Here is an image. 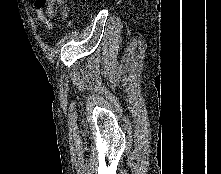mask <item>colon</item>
<instances>
[{
    "instance_id": "colon-1",
    "label": "colon",
    "mask_w": 221,
    "mask_h": 174,
    "mask_svg": "<svg viewBox=\"0 0 221 174\" xmlns=\"http://www.w3.org/2000/svg\"><path fill=\"white\" fill-rule=\"evenodd\" d=\"M64 0H36V3L43 8H46L48 16L54 18L58 12L56 7L63 3Z\"/></svg>"
}]
</instances>
